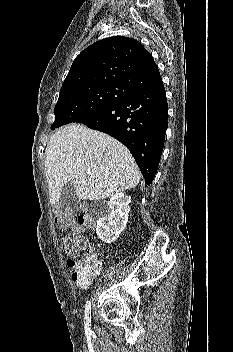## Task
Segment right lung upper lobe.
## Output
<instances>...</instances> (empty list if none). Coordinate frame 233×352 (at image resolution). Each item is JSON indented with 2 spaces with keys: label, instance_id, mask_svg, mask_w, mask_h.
<instances>
[{
  "label": "right lung upper lobe",
  "instance_id": "obj_1",
  "mask_svg": "<svg viewBox=\"0 0 233 352\" xmlns=\"http://www.w3.org/2000/svg\"><path fill=\"white\" fill-rule=\"evenodd\" d=\"M160 79L154 59L141 43L115 36L93 43L75 58L60 95L101 85H121L136 91Z\"/></svg>",
  "mask_w": 233,
  "mask_h": 352
}]
</instances>
